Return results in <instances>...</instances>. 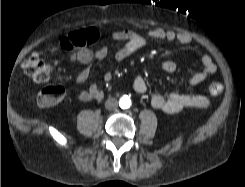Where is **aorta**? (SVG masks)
<instances>
[{
    "label": "aorta",
    "mask_w": 245,
    "mask_h": 187,
    "mask_svg": "<svg viewBox=\"0 0 245 187\" xmlns=\"http://www.w3.org/2000/svg\"><path fill=\"white\" fill-rule=\"evenodd\" d=\"M119 105L122 109H127L131 106V100L128 96H123L122 98H120L119 100Z\"/></svg>",
    "instance_id": "762f6f07"
}]
</instances>
